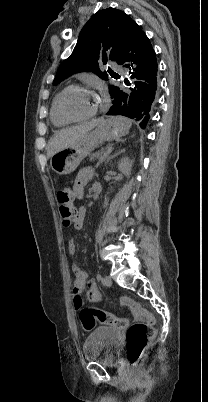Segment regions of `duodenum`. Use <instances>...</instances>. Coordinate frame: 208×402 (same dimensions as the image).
<instances>
[{"label": "duodenum", "mask_w": 208, "mask_h": 402, "mask_svg": "<svg viewBox=\"0 0 208 402\" xmlns=\"http://www.w3.org/2000/svg\"><path fill=\"white\" fill-rule=\"evenodd\" d=\"M100 192H101V188H100L99 185H94V186L92 187V193H93V196H94L95 198L100 194Z\"/></svg>", "instance_id": "1"}]
</instances>
